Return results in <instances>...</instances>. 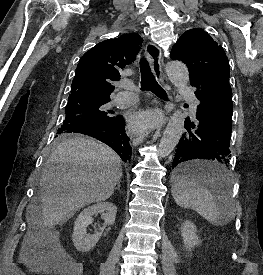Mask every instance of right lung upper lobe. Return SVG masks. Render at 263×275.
Returning a JSON list of instances; mask_svg holds the SVG:
<instances>
[{
    "label": "right lung upper lobe",
    "mask_w": 263,
    "mask_h": 275,
    "mask_svg": "<svg viewBox=\"0 0 263 275\" xmlns=\"http://www.w3.org/2000/svg\"><path fill=\"white\" fill-rule=\"evenodd\" d=\"M142 38L136 33L123 34L98 43L80 59L71 85L70 96L91 94L109 98L112 81L120 79L119 70L136 60Z\"/></svg>",
    "instance_id": "right-lung-upper-lobe-1"
}]
</instances>
